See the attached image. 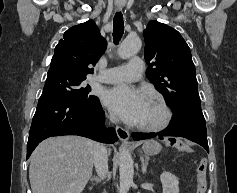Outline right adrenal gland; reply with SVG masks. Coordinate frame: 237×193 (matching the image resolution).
<instances>
[{"label":"right adrenal gland","mask_w":237,"mask_h":193,"mask_svg":"<svg viewBox=\"0 0 237 193\" xmlns=\"http://www.w3.org/2000/svg\"><path fill=\"white\" fill-rule=\"evenodd\" d=\"M101 180H102V178H99V177H97V176H92V177H90V181H92V182L94 181V182H96L97 184L100 183Z\"/></svg>","instance_id":"1"}]
</instances>
